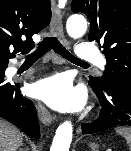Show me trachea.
<instances>
[{"instance_id": "obj_1", "label": "trachea", "mask_w": 131, "mask_h": 151, "mask_svg": "<svg viewBox=\"0 0 131 151\" xmlns=\"http://www.w3.org/2000/svg\"><path fill=\"white\" fill-rule=\"evenodd\" d=\"M53 49L56 53L63 56L67 60L71 62L84 63V61L78 59L74 55H72L69 51H67L63 45L58 41L56 37H50L44 39L39 45L38 48L27 56L29 60H37L42 57L46 52Z\"/></svg>"}]
</instances>
